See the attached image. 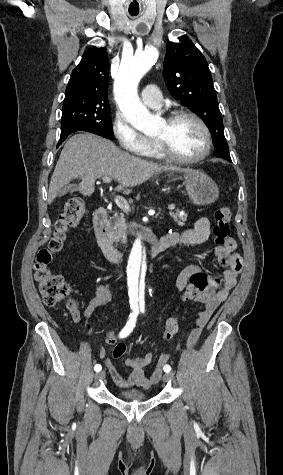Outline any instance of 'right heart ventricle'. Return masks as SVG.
<instances>
[{"label":"right heart ventricle","instance_id":"obj_1","mask_svg":"<svg viewBox=\"0 0 283 475\" xmlns=\"http://www.w3.org/2000/svg\"><path fill=\"white\" fill-rule=\"evenodd\" d=\"M149 154L153 158L161 159L156 148V143L154 141H152V146Z\"/></svg>","mask_w":283,"mask_h":475}]
</instances>
